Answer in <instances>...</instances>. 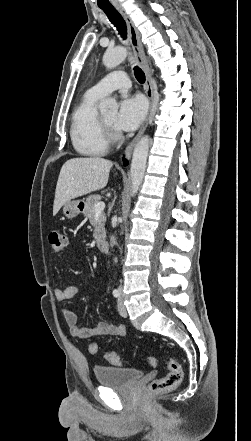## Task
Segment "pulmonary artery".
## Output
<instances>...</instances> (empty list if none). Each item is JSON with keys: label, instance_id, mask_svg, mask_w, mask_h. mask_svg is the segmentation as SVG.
Listing matches in <instances>:
<instances>
[{"label": "pulmonary artery", "instance_id": "pulmonary-artery-1", "mask_svg": "<svg viewBox=\"0 0 251 441\" xmlns=\"http://www.w3.org/2000/svg\"><path fill=\"white\" fill-rule=\"evenodd\" d=\"M131 86L128 75L123 71H115L100 81H98L91 89L101 96H106L115 90H126Z\"/></svg>", "mask_w": 251, "mask_h": 441}]
</instances>
